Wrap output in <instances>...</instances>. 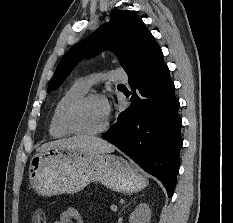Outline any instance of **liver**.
<instances>
[{"label": "liver", "instance_id": "1", "mask_svg": "<svg viewBox=\"0 0 233 223\" xmlns=\"http://www.w3.org/2000/svg\"><path fill=\"white\" fill-rule=\"evenodd\" d=\"M45 145H60V147H68V149H78L84 153H111L114 151L115 145L108 143L102 137H95V135H73V137H66V139H56V141H49Z\"/></svg>", "mask_w": 233, "mask_h": 223}]
</instances>
